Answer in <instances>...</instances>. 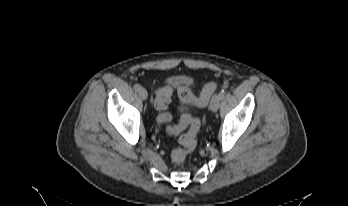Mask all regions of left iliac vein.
Returning <instances> with one entry per match:
<instances>
[{
	"label": "left iliac vein",
	"instance_id": "left-iliac-vein-1",
	"mask_svg": "<svg viewBox=\"0 0 348 206\" xmlns=\"http://www.w3.org/2000/svg\"><path fill=\"white\" fill-rule=\"evenodd\" d=\"M220 97L219 94H215L212 99H211V103H210V108L213 112H216L219 108L220 105Z\"/></svg>",
	"mask_w": 348,
	"mask_h": 206
}]
</instances>
